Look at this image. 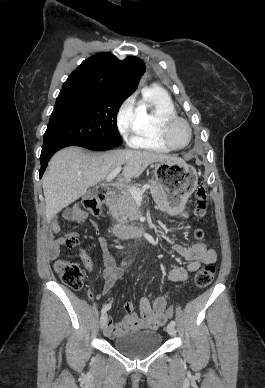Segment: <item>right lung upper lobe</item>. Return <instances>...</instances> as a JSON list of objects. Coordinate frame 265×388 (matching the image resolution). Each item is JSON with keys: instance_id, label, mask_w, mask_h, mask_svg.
<instances>
[{"instance_id": "cb5924a9", "label": "right lung upper lobe", "mask_w": 265, "mask_h": 388, "mask_svg": "<svg viewBox=\"0 0 265 388\" xmlns=\"http://www.w3.org/2000/svg\"><path fill=\"white\" fill-rule=\"evenodd\" d=\"M144 72L145 65L139 58L119 60L109 52L98 53L70 74L61 92H114L130 96Z\"/></svg>"}]
</instances>
